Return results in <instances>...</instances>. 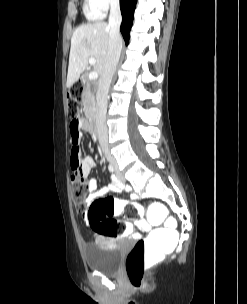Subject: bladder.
<instances>
[{
    "mask_svg": "<svg viewBox=\"0 0 247 304\" xmlns=\"http://www.w3.org/2000/svg\"><path fill=\"white\" fill-rule=\"evenodd\" d=\"M88 269L105 274L116 273L123 258L122 244L108 238L97 239L84 248Z\"/></svg>",
    "mask_w": 247,
    "mask_h": 304,
    "instance_id": "bladder-1",
    "label": "bladder"
}]
</instances>
